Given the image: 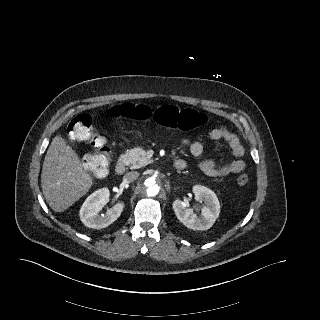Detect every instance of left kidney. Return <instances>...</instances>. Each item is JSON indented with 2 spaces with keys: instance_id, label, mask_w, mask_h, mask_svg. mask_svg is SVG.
Here are the masks:
<instances>
[{
  "instance_id": "5707ae66",
  "label": "left kidney",
  "mask_w": 320,
  "mask_h": 320,
  "mask_svg": "<svg viewBox=\"0 0 320 320\" xmlns=\"http://www.w3.org/2000/svg\"><path fill=\"white\" fill-rule=\"evenodd\" d=\"M193 193L196 201L205 203V206L201 209L200 216H197L193 209L180 199H176L173 202V210L178 220L187 228L192 230H208L220 214L219 200L216 194L205 186L195 185Z\"/></svg>"
}]
</instances>
